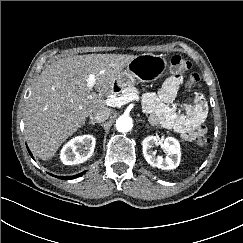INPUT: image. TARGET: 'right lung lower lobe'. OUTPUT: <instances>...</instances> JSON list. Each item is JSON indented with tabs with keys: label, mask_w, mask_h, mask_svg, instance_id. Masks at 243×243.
Segmentation results:
<instances>
[{
	"label": "right lung lower lobe",
	"mask_w": 243,
	"mask_h": 243,
	"mask_svg": "<svg viewBox=\"0 0 243 243\" xmlns=\"http://www.w3.org/2000/svg\"><path fill=\"white\" fill-rule=\"evenodd\" d=\"M27 149H28V147H27ZM28 152H29V154L32 156V154H31V152H30L29 149H28ZM84 173H85V172H82V173H80V174H77V175H74V176H68V177H60V176H56V177H57V178H60V179H74V178H77V177L83 175ZM52 176H54V175H52Z\"/></svg>",
	"instance_id": "right-lung-lower-lobe-1"
}]
</instances>
